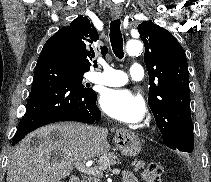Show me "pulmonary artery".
Listing matches in <instances>:
<instances>
[{"label": "pulmonary artery", "instance_id": "obj_1", "mask_svg": "<svg viewBox=\"0 0 211 182\" xmlns=\"http://www.w3.org/2000/svg\"><path fill=\"white\" fill-rule=\"evenodd\" d=\"M144 77V69L140 64H133L128 74L105 66L102 72H96L91 75V80L106 86H122L128 82V79L139 81Z\"/></svg>", "mask_w": 211, "mask_h": 182}]
</instances>
